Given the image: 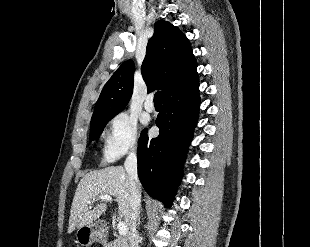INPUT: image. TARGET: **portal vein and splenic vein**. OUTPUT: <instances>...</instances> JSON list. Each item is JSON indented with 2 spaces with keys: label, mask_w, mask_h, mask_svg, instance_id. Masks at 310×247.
I'll list each match as a JSON object with an SVG mask.
<instances>
[{
  "label": "portal vein and splenic vein",
  "mask_w": 310,
  "mask_h": 247,
  "mask_svg": "<svg viewBox=\"0 0 310 247\" xmlns=\"http://www.w3.org/2000/svg\"><path fill=\"white\" fill-rule=\"evenodd\" d=\"M98 200H104V201L112 202L111 196L107 195V194L99 196ZM117 228H118V232L121 236H125L128 233V226L124 222H119L117 225Z\"/></svg>",
  "instance_id": "portal-vein-and-splenic-vein-1"
}]
</instances>
